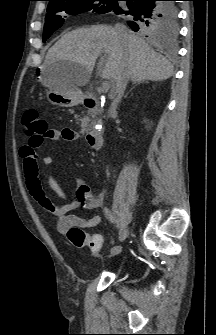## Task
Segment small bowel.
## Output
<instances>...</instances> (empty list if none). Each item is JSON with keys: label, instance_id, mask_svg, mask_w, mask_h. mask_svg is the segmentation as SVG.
<instances>
[{"label": "small bowel", "instance_id": "c3829d8e", "mask_svg": "<svg viewBox=\"0 0 216 335\" xmlns=\"http://www.w3.org/2000/svg\"><path fill=\"white\" fill-rule=\"evenodd\" d=\"M61 139L66 141H75L79 139V135L77 132L69 128H64L61 130L50 129L48 130L44 141H58ZM20 154L23 160L25 182L30 195L45 211L57 216V228L60 232L66 233L72 227L92 228L101 224L102 218L100 216H93L90 219H84L70 213L80 206L86 207L88 209H95L100 207L101 201L99 195L90 194L89 187L82 185L77 191L76 199H69L67 195L53 183V186L58 192L59 196L62 198L63 203L58 204L53 202L42 188L39 176L40 171L37 162V154L35 150L26 145L21 147ZM51 163V157L45 156L43 158V164L46 167H49ZM49 180L52 182L50 177ZM93 236H97L102 239L101 235L99 234H94ZM99 251L93 253L97 254Z\"/></svg>", "mask_w": 216, "mask_h": 335}]
</instances>
